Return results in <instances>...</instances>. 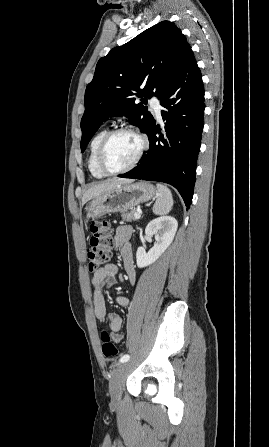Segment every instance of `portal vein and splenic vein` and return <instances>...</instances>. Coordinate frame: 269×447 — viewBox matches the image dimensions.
Segmentation results:
<instances>
[{
	"label": "portal vein and splenic vein",
	"mask_w": 269,
	"mask_h": 447,
	"mask_svg": "<svg viewBox=\"0 0 269 447\" xmlns=\"http://www.w3.org/2000/svg\"><path fill=\"white\" fill-rule=\"evenodd\" d=\"M134 218H135V220H140L141 214H139V212H135Z\"/></svg>",
	"instance_id": "18ae733b"
}]
</instances>
